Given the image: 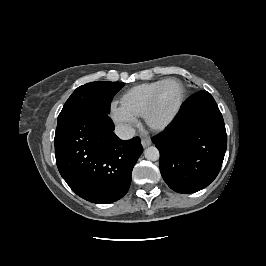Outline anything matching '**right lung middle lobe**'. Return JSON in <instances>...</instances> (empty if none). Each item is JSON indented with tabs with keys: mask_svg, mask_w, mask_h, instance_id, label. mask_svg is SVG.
<instances>
[{
	"mask_svg": "<svg viewBox=\"0 0 266 266\" xmlns=\"http://www.w3.org/2000/svg\"><path fill=\"white\" fill-rule=\"evenodd\" d=\"M123 86V82H91L78 87L64 104L58 116L56 131L85 109L93 108L108 114L113 96Z\"/></svg>",
	"mask_w": 266,
	"mask_h": 266,
	"instance_id": "1",
	"label": "right lung middle lobe"
}]
</instances>
